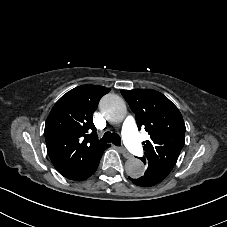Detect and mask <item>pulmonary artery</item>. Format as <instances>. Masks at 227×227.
Returning <instances> with one entry per match:
<instances>
[{
  "label": "pulmonary artery",
  "mask_w": 227,
  "mask_h": 227,
  "mask_svg": "<svg viewBox=\"0 0 227 227\" xmlns=\"http://www.w3.org/2000/svg\"><path fill=\"white\" fill-rule=\"evenodd\" d=\"M140 133L136 131V119L126 116L123 119V145L124 149L133 156H141L144 153V145L139 142Z\"/></svg>",
  "instance_id": "obj_1"
}]
</instances>
